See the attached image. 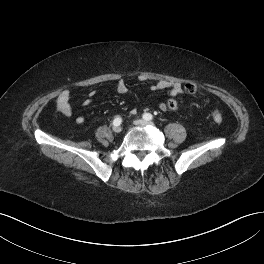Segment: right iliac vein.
I'll use <instances>...</instances> for the list:
<instances>
[{
    "label": "right iliac vein",
    "instance_id": "obj_1",
    "mask_svg": "<svg viewBox=\"0 0 264 264\" xmlns=\"http://www.w3.org/2000/svg\"><path fill=\"white\" fill-rule=\"evenodd\" d=\"M121 127H119V126H115V127H113V131L114 132H116V133H120L121 132Z\"/></svg>",
    "mask_w": 264,
    "mask_h": 264
}]
</instances>
